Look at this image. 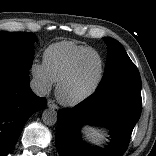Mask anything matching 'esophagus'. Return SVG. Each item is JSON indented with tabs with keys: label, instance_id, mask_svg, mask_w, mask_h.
Wrapping results in <instances>:
<instances>
[{
	"label": "esophagus",
	"instance_id": "obj_1",
	"mask_svg": "<svg viewBox=\"0 0 156 156\" xmlns=\"http://www.w3.org/2000/svg\"><path fill=\"white\" fill-rule=\"evenodd\" d=\"M47 105L49 108L58 109V106L55 104V102L53 100H48Z\"/></svg>",
	"mask_w": 156,
	"mask_h": 156
}]
</instances>
